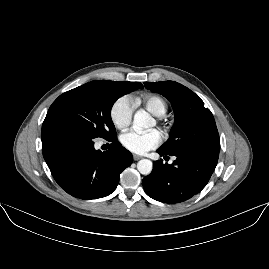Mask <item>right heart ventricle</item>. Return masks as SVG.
Returning a JSON list of instances; mask_svg holds the SVG:
<instances>
[{
    "instance_id": "1",
    "label": "right heart ventricle",
    "mask_w": 269,
    "mask_h": 269,
    "mask_svg": "<svg viewBox=\"0 0 269 269\" xmlns=\"http://www.w3.org/2000/svg\"><path fill=\"white\" fill-rule=\"evenodd\" d=\"M138 102L141 103L150 113L156 116H162L167 111V104L164 99L156 95L143 97Z\"/></svg>"
}]
</instances>
